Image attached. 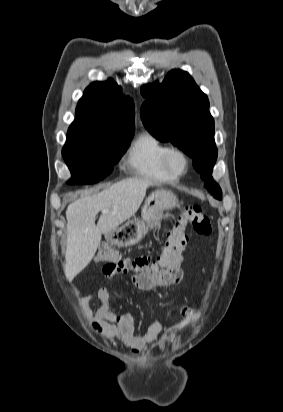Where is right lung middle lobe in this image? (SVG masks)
I'll return each mask as SVG.
<instances>
[{"label": "right lung middle lobe", "mask_w": 283, "mask_h": 412, "mask_svg": "<svg viewBox=\"0 0 283 412\" xmlns=\"http://www.w3.org/2000/svg\"><path fill=\"white\" fill-rule=\"evenodd\" d=\"M134 133L96 136L71 125L62 155L71 172L69 184H91L111 173Z\"/></svg>", "instance_id": "dd1d6c3e"}]
</instances>
